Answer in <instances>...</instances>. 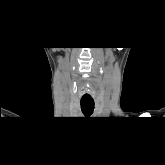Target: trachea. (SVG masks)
<instances>
[{"label":"trachea","instance_id":"1","mask_svg":"<svg viewBox=\"0 0 165 165\" xmlns=\"http://www.w3.org/2000/svg\"><path fill=\"white\" fill-rule=\"evenodd\" d=\"M81 110L84 115L89 116L93 113L94 110V101L93 100H81Z\"/></svg>","mask_w":165,"mask_h":165}]
</instances>
